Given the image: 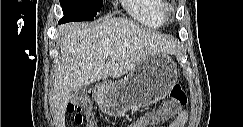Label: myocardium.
<instances>
[{"label": "myocardium", "instance_id": "f54148a6", "mask_svg": "<svg viewBox=\"0 0 243 127\" xmlns=\"http://www.w3.org/2000/svg\"><path fill=\"white\" fill-rule=\"evenodd\" d=\"M164 16H165V18L170 19V20L175 19L176 8L173 5L168 4L164 9Z\"/></svg>", "mask_w": 243, "mask_h": 127}]
</instances>
